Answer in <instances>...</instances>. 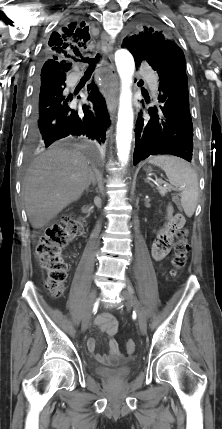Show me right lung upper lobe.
<instances>
[{
	"instance_id": "obj_1",
	"label": "right lung upper lobe",
	"mask_w": 222,
	"mask_h": 429,
	"mask_svg": "<svg viewBox=\"0 0 222 429\" xmlns=\"http://www.w3.org/2000/svg\"><path fill=\"white\" fill-rule=\"evenodd\" d=\"M90 35L88 30L76 27L74 24L69 28H63L59 33L55 32L49 39L45 50L46 59L68 62L71 54L81 56L79 47L84 46Z\"/></svg>"
}]
</instances>
